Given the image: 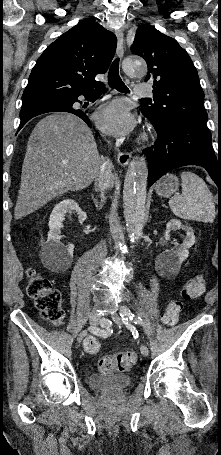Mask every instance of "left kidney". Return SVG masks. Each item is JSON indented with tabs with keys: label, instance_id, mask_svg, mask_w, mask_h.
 <instances>
[{
	"label": "left kidney",
	"instance_id": "obj_1",
	"mask_svg": "<svg viewBox=\"0 0 221 455\" xmlns=\"http://www.w3.org/2000/svg\"><path fill=\"white\" fill-rule=\"evenodd\" d=\"M182 229L186 231V237L183 243L179 245L177 242L174 244L175 250H165L160 253L157 257L158 264L166 270H177L180 268L182 262L187 259L189 255V248L195 243V235L193 229L190 226L182 225L181 221L177 219H171L166 224V231L164 238L166 241L170 240V232Z\"/></svg>",
	"mask_w": 221,
	"mask_h": 455
}]
</instances>
